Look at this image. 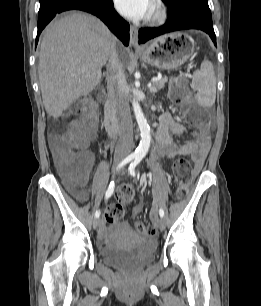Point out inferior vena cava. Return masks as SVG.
<instances>
[{
  "mask_svg": "<svg viewBox=\"0 0 261 306\" xmlns=\"http://www.w3.org/2000/svg\"><path fill=\"white\" fill-rule=\"evenodd\" d=\"M107 67V89L116 108L117 117L120 120V142L116 152L120 155H128L133 146V124L126 92V79L116 50L109 54Z\"/></svg>",
  "mask_w": 261,
  "mask_h": 306,
  "instance_id": "obj_1",
  "label": "inferior vena cava"
}]
</instances>
